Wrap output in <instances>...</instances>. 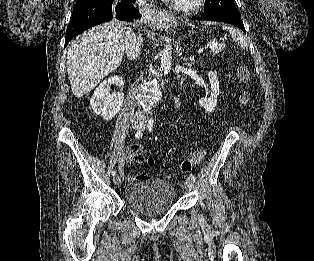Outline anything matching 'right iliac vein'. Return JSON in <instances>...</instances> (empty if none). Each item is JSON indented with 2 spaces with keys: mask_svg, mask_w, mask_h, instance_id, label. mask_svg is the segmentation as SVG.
I'll use <instances>...</instances> for the list:
<instances>
[{
  "mask_svg": "<svg viewBox=\"0 0 314 261\" xmlns=\"http://www.w3.org/2000/svg\"><path fill=\"white\" fill-rule=\"evenodd\" d=\"M132 128L134 130H139L141 128V124L138 122V121H133L132 122ZM113 182L115 185H119L120 182H121V178L119 175H115L114 178H113Z\"/></svg>",
  "mask_w": 314,
  "mask_h": 261,
  "instance_id": "right-iliac-vein-1",
  "label": "right iliac vein"
}]
</instances>
